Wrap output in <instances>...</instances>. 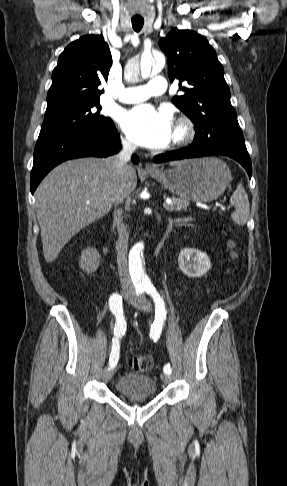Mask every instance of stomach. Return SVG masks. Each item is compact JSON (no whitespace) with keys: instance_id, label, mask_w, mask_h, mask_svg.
I'll return each mask as SVG.
<instances>
[{"instance_id":"1","label":"stomach","mask_w":287,"mask_h":486,"mask_svg":"<svg viewBox=\"0 0 287 486\" xmlns=\"http://www.w3.org/2000/svg\"><path fill=\"white\" fill-rule=\"evenodd\" d=\"M150 175L178 197L195 202L217 199L231 180L227 164L215 157L183 160L171 169Z\"/></svg>"}]
</instances>
